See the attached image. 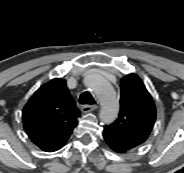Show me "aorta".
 Instances as JSON below:
<instances>
[{"label":"aorta","mask_w":184,"mask_h":173,"mask_svg":"<svg viewBox=\"0 0 184 173\" xmlns=\"http://www.w3.org/2000/svg\"><path fill=\"white\" fill-rule=\"evenodd\" d=\"M86 85L95 93L100 104V120L105 124L115 121L119 112V101L111 85L97 72L91 71L85 78Z\"/></svg>","instance_id":"obj_1"}]
</instances>
